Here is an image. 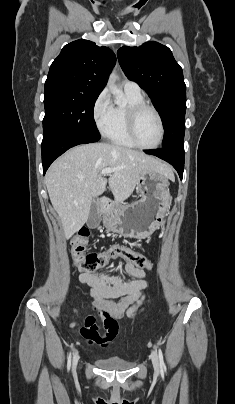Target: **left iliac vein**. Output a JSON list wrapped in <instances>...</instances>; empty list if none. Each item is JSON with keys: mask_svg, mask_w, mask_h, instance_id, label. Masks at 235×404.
Here are the masks:
<instances>
[{"mask_svg": "<svg viewBox=\"0 0 235 404\" xmlns=\"http://www.w3.org/2000/svg\"><path fill=\"white\" fill-rule=\"evenodd\" d=\"M151 360H152V364H153L155 371L158 373L160 371V364H159L157 353L155 351H152V353H151Z\"/></svg>", "mask_w": 235, "mask_h": 404, "instance_id": "left-iliac-vein-1", "label": "left iliac vein"}]
</instances>
